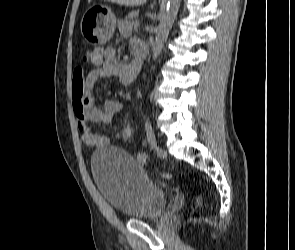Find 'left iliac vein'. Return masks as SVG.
<instances>
[{
    "mask_svg": "<svg viewBox=\"0 0 295 250\" xmlns=\"http://www.w3.org/2000/svg\"><path fill=\"white\" fill-rule=\"evenodd\" d=\"M156 151H157L158 155L161 157L166 155V151L162 147H160L159 145H156Z\"/></svg>",
    "mask_w": 295,
    "mask_h": 250,
    "instance_id": "left-iliac-vein-1",
    "label": "left iliac vein"
}]
</instances>
